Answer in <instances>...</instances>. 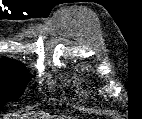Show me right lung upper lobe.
Listing matches in <instances>:
<instances>
[{
  "label": "right lung upper lobe",
  "instance_id": "obj_1",
  "mask_svg": "<svg viewBox=\"0 0 142 119\" xmlns=\"http://www.w3.org/2000/svg\"><path fill=\"white\" fill-rule=\"evenodd\" d=\"M21 67L22 65L20 62L13 61L7 58H3L0 60V69H13V68H18ZM24 68V67H23Z\"/></svg>",
  "mask_w": 142,
  "mask_h": 119
}]
</instances>
